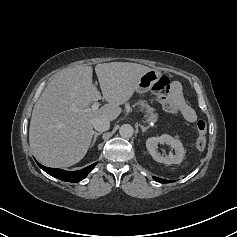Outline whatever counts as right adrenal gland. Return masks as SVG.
Wrapping results in <instances>:
<instances>
[{
  "mask_svg": "<svg viewBox=\"0 0 237 237\" xmlns=\"http://www.w3.org/2000/svg\"><path fill=\"white\" fill-rule=\"evenodd\" d=\"M101 134H102V132H98V133L94 132V137H93V140H92V143H91L90 147H92L95 144V142L97 140V137Z\"/></svg>",
  "mask_w": 237,
  "mask_h": 237,
  "instance_id": "right-adrenal-gland-1",
  "label": "right adrenal gland"
}]
</instances>
